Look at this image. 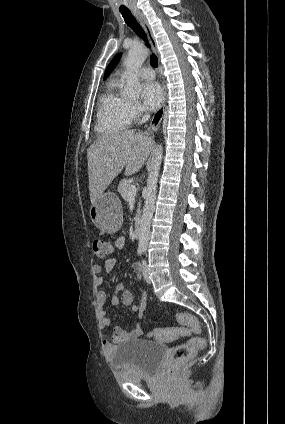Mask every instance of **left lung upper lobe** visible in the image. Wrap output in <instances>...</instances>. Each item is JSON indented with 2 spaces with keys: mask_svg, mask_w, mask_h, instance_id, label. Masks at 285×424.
Here are the masks:
<instances>
[{
  "mask_svg": "<svg viewBox=\"0 0 285 424\" xmlns=\"http://www.w3.org/2000/svg\"><path fill=\"white\" fill-rule=\"evenodd\" d=\"M121 55H122L121 53L117 54L113 58V60L110 62V64L106 68L104 79H106L110 75V73L112 72V70L116 67V65L118 64V62H119V60L121 58Z\"/></svg>",
  "mask_w": 285,
  "mask_h": 424,
  "instance_id": "left-lung-upper-lobe-1",
  "label": "left lung upper lobe"
}]
</instances>
